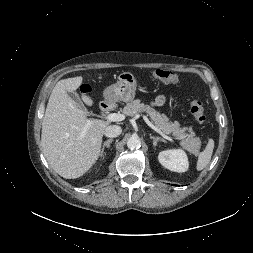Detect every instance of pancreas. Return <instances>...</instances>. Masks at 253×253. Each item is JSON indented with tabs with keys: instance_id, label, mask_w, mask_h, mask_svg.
Segmentation results:
<instances>
[{
	"instance_id": "1",
	"label": "pancreas",
	"mask_w": 253,
	"mask_h": 253,
	"mask_svg": "<svg viewBox=\"0 0 253 253\" xmlns=\"http://www.w3.org/2000/svg\"><path fill=\"white\" fill-rule=\"evenodd\" d=\"M127 116H134L138 113L145 112L150 117L155 126L165 134H173L177 139H182V146L187 149L191 154L196 155L201 146L199 138L191 134L192 129L183 127L180 128L178 122H172L166 115L160 114L154 108L141 103L140 100H134L128 103L123 111ZM189 132V134L186 133Z\"/></svg>"
}]
</instances>
